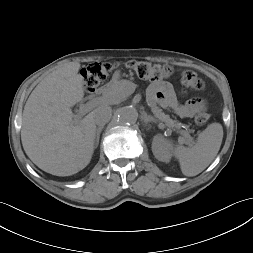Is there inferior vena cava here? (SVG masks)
I'll return each instance as SVG.
<instances>
[{
    "label": "inferior vena cava",
    "mask_w": 253,
    "mask_h": 253,
    "mask_svg": "<svg viewBox=\"0 0 253 253\" xmlns=\"http://www.w3.org/2000/svg\"><path fill=\"white\" fill-rule=\"evenodd\" d=\"M112 116V109L109 106L103 105L99 106L94 111V121L95 124L100 126H104L109 122Z\"/></svg>",
    "instance_id": "inferior-vena-cava-1"
}]
</instances>
